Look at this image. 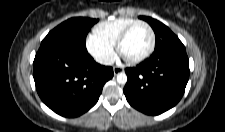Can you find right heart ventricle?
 Segmentation results:
<instances>
[{
    "label": "right heart ventricle",
    "mask_w": 225,
    "mask_h": 132,
    "mask_svg": "<svg viewBox=\"0 0 225 132\" xmlns=\"http://www.w3.org/2000/svg\"><path fill=\"white\" fill-rule=\"evenodd\" d=\"M135 21L137 20L133 18L121 17L101 22L94 27V36L102 42L115 46L120 34Z\"/></svg>",
    "instance_id": "1"
}]
</instances>
